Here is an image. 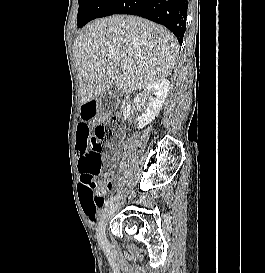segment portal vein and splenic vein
I'll list each match as a JSON object with an SVG mask.
<instances>
[{
    "label": "portal vein and splenic vein",
    "mask_w": 265,
    "mask_h": 273,
    "mask_svg": "<svg viewBox=\"0 0 265 273\" xmlns=\"http://www.w3.org/2000/svg\"><path fill=\"white\" fill-rule=\"evenodd\" d=\"M121 67H122V69H126L127 68L126 63H121Z\"/></svg>",
    "instance_id": "18ae733b"
}]
</instances>
